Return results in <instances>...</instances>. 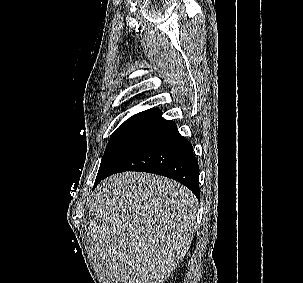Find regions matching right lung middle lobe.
<instances>
[{"mask_svg": "<svg viewBox=\"0 0 303 283\" xmlns=\"http://www.w3.org/2000/svg\"><path fill=\"white\" fill-rule=\"evenodd\" d=\"M156 119L147 116H132L113 133L102 157L96 180L111 169L122 154Z\"/></svg>", "mask_w": 303, "mask_h": 283, "instance_id": "obj_1", "label": "right lung middle lobe"}]
</instances>
